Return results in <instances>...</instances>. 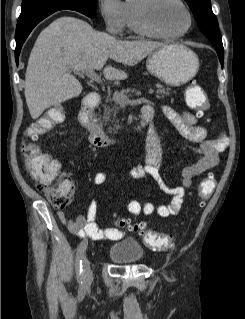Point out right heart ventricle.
Here are the masks:
<instances>
[{"instance_id":"1","label":"right heart ventricle","mask_w":245,"mask_h":319,"mask_svg":"<svg viewBox=\"0 0 245 319\" xmlns=\"http://www.w3.org/2000/svg\"><path fill=\"white\" fill-rule=\"evenodd\" d=\"M137 0H126L124 2L125 26L130 33L143 34L138 28L134 15V5Z\"/></svg>"}]
</instances>
